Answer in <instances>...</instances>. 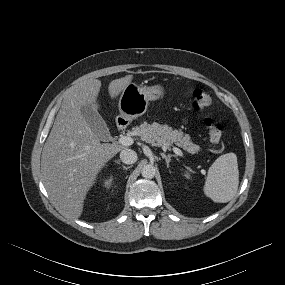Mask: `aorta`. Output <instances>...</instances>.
Here are the masks:
<instances>
[{
	"label": "aorta",
	"instance_id": "762f6f07",
	"mask_svg": "<svg viewBox=\"0 0 285 285\" xmlns=\"http://www.w3.org/2000/svg\"><path fill=\"white\" fill-rule=\"evenodd\" d=\"M155 173H156V169L151 164H147V165L143 166V168L141 170V174L144 178L151 179L155 176Z\"/></svg>",
	"mask_w": 285,
	"mask_h": 285
}]
</instances>
